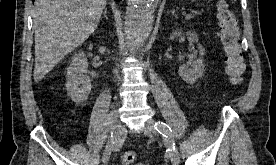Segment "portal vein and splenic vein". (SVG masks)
Segmentation results:
<instances>
[{
    "instance_id": "18ae733b",
    "label": "portal vein and splenic vein",
    "mask_w": 276,
    "mask_h": 165,
    "mask_svg": "<svg viewBox=\"0 0 276 165\" xmlns=\"http://www.w3.org/2000/svg\"><path fill=\"white\" fill-rule=\"evenodd\" d=\"M185 18L186 19H191L192 18V14H185Z\"/></svg>"
}]
</instances>
